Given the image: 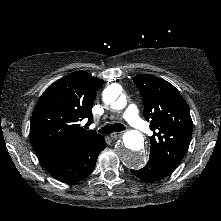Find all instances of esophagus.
<instances>
[{"mask_svg": "<svg viewBox=\"0 0 221 221\" xmlns=\"http://www.w3.org/2000/svg\"><path fill=\"white\" fill-rule=\"evenodd\" d=\"M123 132H113L110 137L113 138V139H116L120 136H122Z\"/></svg>", "mask_w": 221, "mask_h": 221, "instance_id": "obj_1", "label": "esophagus"}]
</instances>
